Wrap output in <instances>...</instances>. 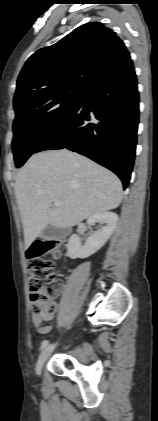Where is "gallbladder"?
I'll use <instances>...</instances> for the list:
<instances>
[{
    "label": "gallbladder",
    "instance_id": "1",
    "mask_svg": "<svg viewBox=\"0 0 158 421\" xmlns=\"http://www.w3.org/2000/svg\"><path fill=\"white\" fill-rule=\"evenodd\" d=\"M67 234V230L63 228L47 226L42 234V238L46 239H63Z\"/></svg>",
    "mask_w": 158,
    "mask_h": 421
}]
</instances>
